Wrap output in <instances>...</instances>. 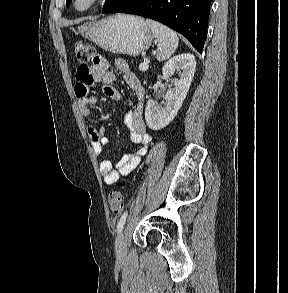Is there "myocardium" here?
Instances as JSON below:
<instances>
[{
  "instance_id": "f54148a6",
  "label": "myocardium",
  "mask_w": 288,
  "mask_h": 293,
  "mask_svg": "<svg viewBox=\"0 0 288 293\" xmlns=\"http://www.w3.org/2000/svg\"><path fill=\"white\" fill-rule=\"evenodd\" d=\"M98 2L99 0H72V8L77 12H86Z\"/></svg>"
}]
</instances>
